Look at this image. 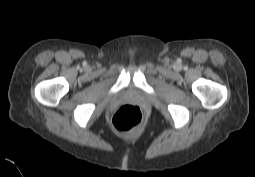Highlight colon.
Instances as JSON below:
<instances>
[{
	"label": "colon",
	"instance_id": "obj_1",
	"mask_svg": "<svg viewBox=\"0 0 255 177\" xmlns=\"http://www.w3.org/2000/svg\"><path fill=\"white\" fill-rule=\"evenodd\" d=\"M142 122L140 109L133 104L121 106L112 117L113 127L121 132L136 129Z\"/></svg>",
	"mask_w": 255,
	"mask_h": 177
}]
</instances>
